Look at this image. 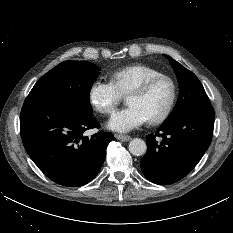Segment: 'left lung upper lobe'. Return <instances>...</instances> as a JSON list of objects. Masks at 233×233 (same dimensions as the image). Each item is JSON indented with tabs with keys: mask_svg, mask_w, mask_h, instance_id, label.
Wrapping results in <instances>:
<instances>
[{
	"mask_svg": "<svg viewBox=\"0 0 233 233\" xmlns=\"http://www.w3.org/2000/svg\"><path fill=\"white\" fill-rule=\"evenodd\" d=\"M164 56L168 58L176 73L180 91L177 104L164 123L172 122L192 110L211 107L209 98L196 75L170 56Z\"/></svg>",
	"mask_w": 233,
	"mask_h": 233,
	"instance_id": "5c2ea615",
	"label": "left lung upper lobe"
}]
</instances>
